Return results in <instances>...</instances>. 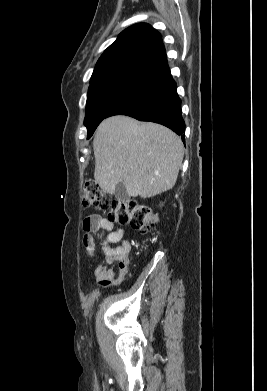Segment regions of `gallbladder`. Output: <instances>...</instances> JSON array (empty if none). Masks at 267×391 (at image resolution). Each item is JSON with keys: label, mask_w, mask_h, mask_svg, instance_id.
<instances>
[{"label": "gallbladder", "mask_w": 267, "mask_h": 391, "mask_svg": "<svg viewBox=\"0 0 267 391\" xmlns=\"http://www.w3.org/2000/svg\"><path fill=\"white\" fill-rule=\"evenodd\" d=\"M114 194L118 201L125 202L129 200V195L122 181L116 185Z\"/></svg>", "instance_id": "1"}]
</instances>
